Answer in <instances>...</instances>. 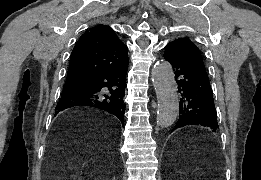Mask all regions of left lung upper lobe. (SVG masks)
<instances>
[{"label":"left lung upper lobe","instance_id":"left-lung-upper-lobe-1","mask_svg":"<svg viewBox=\"0 0 261 180\" xmlns=\"http://www.w3.org/2000/svg\"><path fill=\"white\" fill-rule=\"evenodd\" d=\"M169 44L180 48L183 50V54L189 57L191 61L205 68L201 52L189 39L180 38Z\"/></svg>","mask_w":261,"mask_h":180}]
</instances>
